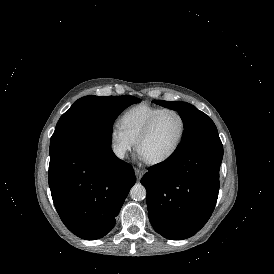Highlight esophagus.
Listing matches in <instances>:
<instances>
[{
    "label": "esophagus",
    "mask_w": 274,
    "mask_h": 274,
    "mask_svg": "<svg viewBox=\"0 0 274 274\" xmlns=\"http://www.w3.org/2000/svg\"><path fill=\"white\" fill-rule=\"evenodd\" d=\"M134 170H135V175H136L137 179H141L143 177L145 171L142 169L136 168V167L134 168Z\"/></svg>",
    "instance_id": "esophagus-1"
}]
</instances>
